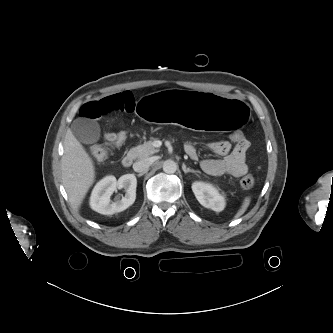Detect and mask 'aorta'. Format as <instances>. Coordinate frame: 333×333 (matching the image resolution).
Listing matches in <instances>:
<instances>
[{"instance_id": "762f6f07", "label": "aorta", "mask_w": 333, "mask_h": 333, "mask_svg": "<svg viewBox=\"0 0 333 333\" xmlns=\"http://www.w3.org/2000/svg\"><path fill=\"white\" fill-rule=\"evenodd\" d=\"M177 170V164L173 160H166L163 163V171L167 174L175 173Z\"/></svg>"}]
</instances>
